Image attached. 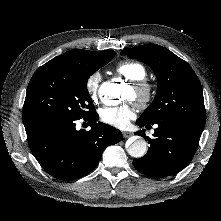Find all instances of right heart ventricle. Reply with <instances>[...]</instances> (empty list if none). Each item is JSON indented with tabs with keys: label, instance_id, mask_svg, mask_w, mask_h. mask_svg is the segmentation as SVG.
Instances as JSON below:
<instances>
[{
	"label": "right heart ventricle",
	"instance_id": "right-heart-ventricle-1",
	"mask_svg": "<svg viewBox=\"0 0 221 221\" xmlns=\"http://www.w3.org/2000/svg\"><path fill=\"white\" fill-rule=\"evenodd\" d=\"M115 71L130 81L144 79L147 73L145 66L136 61L119 62L115 67Z\"/></svg>",
	"mask_w": 221,
	"mask_h": 221
}]
</instances>
